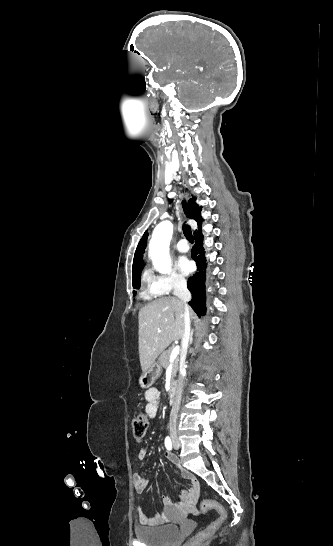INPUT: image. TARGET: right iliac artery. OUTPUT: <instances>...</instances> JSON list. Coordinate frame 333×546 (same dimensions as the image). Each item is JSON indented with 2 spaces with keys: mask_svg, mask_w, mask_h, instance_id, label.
Segmentation results:
<instances>
[{
  "mask_svg": "<svg viewBox=\"0 0 333 546\" xmlns=\"http://www.w3.org/2000/svg\"><path fill=\"white\" fill-rule=\"evenodd\" d=\"M165 447L168 449V450H171L172 449V441L170 439L169 436H167L165 438Z\"/></svg>",
  "mask_w": 333,
  "mask_h": 546,
  "instance_id": "82829eb1",
  "label": "right iliac artery"
}]
</instances>
